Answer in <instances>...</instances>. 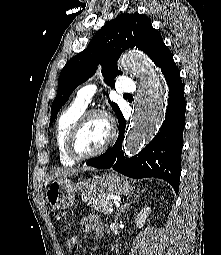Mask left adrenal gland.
Instances as JSON below:
<instances>
[{
	"label": "left adrenal gland",
	"mask_w": 221,
	"mask_h": 255,
	"mask_svg": "<svg viewBox=\"0 0 221 255\" xmlns=\"http://www.w3.org/2000/svg\"><path fill=\"white\" fill-rule=\"evenodd\" d=\"M140 196H141V193H138V195H134V198H132L129 202H126L123 206H121V207L117 210V212H116V214H115V221L118 220V218L120 217V215H121L122 213H125V212H126V209L129 208V206H130L132 203H134V202L137 200V198H139Z\"/></svg>",
	"instance_id": "left-adrenal-gland-1"
}]
</instances>
